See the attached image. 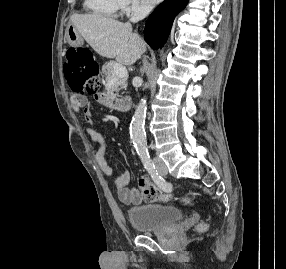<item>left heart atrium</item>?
I'll list each match as a JSON object with an SVG mask.
<instances>
[{"instance_id": "1", "label": "left heart atrium", "mask_w": 286, "mask_h": 269, "mask_svg": "<svg viewBox=\"0 0 286 269\" xmlns=\"http://www.w3.org/2000/svg\"><path fill=\"white\" fill-rule=\"evenodd\" d=\"M149 4H156L159 3L162 0H146Z\"/></svg>"}]
</instances>
